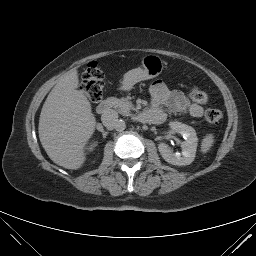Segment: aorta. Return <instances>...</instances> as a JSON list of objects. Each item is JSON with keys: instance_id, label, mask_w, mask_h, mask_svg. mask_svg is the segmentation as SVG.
Masks as SVG:
<instances>
[{"instance_id": "aorta-1", "label": "aorta", "mask_w": 256, "mask_h": 256, "mask_svg": "<svg viewBox=\"0 0 256 256\" xmlns=\"http://www.w3.org/2000/svg\"><path fill=\"white\" fill-rule=\"evenodd\" d=\"M125 128H126L125 121L124 120H119V122H118V124L116 126V130L117 131H123V130H125Z\"/></svg>"}]
</instances>
